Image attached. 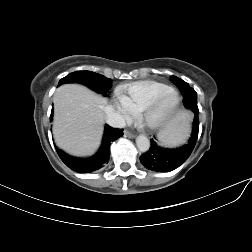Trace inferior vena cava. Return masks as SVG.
<instances>
[{"label": "inferior vena cava", "instance_id": "1", "mask_svg": "<svg viewBox=\"0 0 252 252\" xmlns=\"http://www.w3.org/2000/svg\"><path fill=\"white\" fill-rule=\"evenodd\" d=\"M106 122L116 128H124L126 126L125 120L122 115L115 112L111 106H106L105 109Z\"/></svg>", "mask_w": 252, "mask_h": 252}]
</instances>
